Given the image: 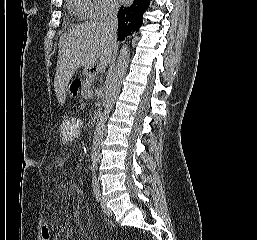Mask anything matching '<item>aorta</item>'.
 <instances>
[{
	"label": "aorta",
	"mask_w": 257,
	"mask_h": 240,
	"mask_svg": "<svg viewBox=\"0 0 257 240\" xmlns=\"http://www.w3.org/2000/svg\"><path fill=\"white\" fill-rule=\"evenodd\" d=\"M129 56H130L129 47L125 44L122 46L120 50L116 66L113 69L110 80L108 82L107 98L104 105V111L101 114V117L94 131L92 150L90 154L91 171H92L93 179H96V172L98 170V163L100 160V147L103 141L105 124L112 108L114 107L117 96L120 92L121 85L127 71Z\"/></svg>",
	"instance_id": "obj_1"
}]
</instances>
